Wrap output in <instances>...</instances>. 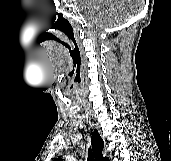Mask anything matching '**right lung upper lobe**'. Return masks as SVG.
<instances>
[{"instance_id": "cb5924a9", "label": "right lung upper lobe", "mask_w": 171, "mask_h": 161, "mask_svg": "<svg viewBox=\"0 0 171 161\" xmlns=\"http://www.w3.org/2000/svg\"><path fill=\"white\" fill-rule=\"evenodd\" d=\"M91 142H92L93 152H94L96 160L97 161H109V158L103 157L102 155L104 142L102 138L100 137V134L98 133L97 130H94L92 137H91ZM54 161H61V160L55 159Z\"/></svg>"}]
</instances>
